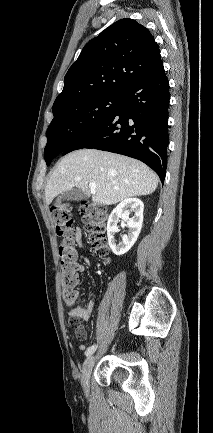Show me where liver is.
I'll use <instances>...</instances> for the list:
<instances>
[{"instance_id":"obj_1","label":"liver","mask_w":213,"mask_h":433,"mask_svg":"<svg viewBox=\"0 0 213 433\" xmlns=\"http://www.w3.org/2000/svg\"><path fill=\"white\" fill-rule=\"evenodd\" d=\"M94 182V191L88 184ZM158 186L157 175L136 159L99 151L81 149L65 156L53 171L45 188L49 205L59 194L73 189L83 191L101 205H112L127 198L152 194Z\"/></svg>"}]
</instances>
